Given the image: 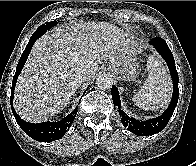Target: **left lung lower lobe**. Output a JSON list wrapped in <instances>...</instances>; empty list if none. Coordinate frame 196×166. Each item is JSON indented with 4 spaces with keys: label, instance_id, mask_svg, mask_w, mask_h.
Segmentation results:
<instances>
[{
    "label": "left lung lower lobe",
    "instance_id": "left-lung-lower-lobe-1",
    "mask_svg": "<svg viewBox=\"0 0 196 166\" xmlns=\"http://www.w3.org/2000/svg\"><path fill=\"white\" fill-rule=\"evenodd\" d=\"M150 44L154 46V48L158 51V53L164 58L166 61L171 78L173 81V96L168 108L164 111V113L156 118L149 119L146 121H139L135 118H130L122 109H121V101L119 97V92L115 86L112 87V99L115 106L118 107V113L121 117V122L130 132L138 135V136H147L160 132L163 130L169 119L171 118L174 109L178 102V73L175 67L174 57L167 45V43L160 37H155L150 41Z\"/></svg>",
    "mask_w": 196,
    "mask_h": 166
}]
</instances>
